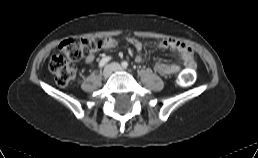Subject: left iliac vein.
Instances as JSON below:
<instances>
[{
	"instance_id": "obj_1",
	"label": "left iliac vein",
	"mask_w": 258,
	"mask_h": 158,
	"mask_svg": "<svg viewBox=\"0 0 258 158\" xmlns=\"http://www.w3.org/2000/svg\"><path fill=\"white\" fill-rule=\"evenodd\" d=\"M110 66L113 71H123L124 70L118 63H112Z\"/></svg>"
}]
</instances>
